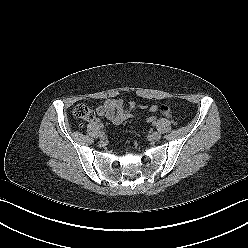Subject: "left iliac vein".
I'll use <instances>...</instances> for the list:
<instances>
[{"instance_id":"left-iliac-vein-1","label":"left iliac vein","mask_w":248,"mask_h":248,"mask_svg":"<svg viewBox=\"0 0 248 248\" xmlns=\"http://www.w3.org/2000/svg\"><path fill=\"white\" fill-rule=\"evenodd\" d=\"M151 139L153 141H159L161 139V134L159 132H153L151 134Z\"/></svg>"}]
</instances>
